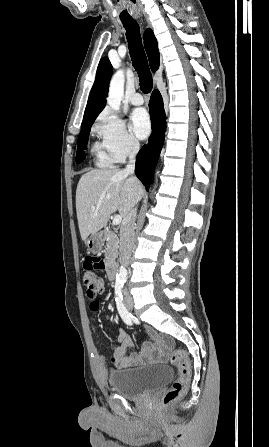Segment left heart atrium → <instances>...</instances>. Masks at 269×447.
<instances>
[{
    "label": "left heart atrium",
    "instance_id": "1",
    "mask_svg": "<svg viewBox=\"0 0 269 447\" xmlns=\"http://www.w3.org/2000/svg\"><path fill=\"white\" fill-rule=\"evenodd\" d=\"M131 129L140 139H146L152 129V122L145 108L134 109L131 114Z\"/></svg>",
    "mask_w": 269,
    "mask_h": 447
}]
</instances>
